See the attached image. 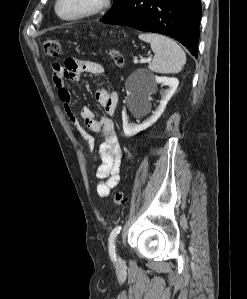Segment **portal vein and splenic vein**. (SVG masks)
<instances>
[{"mask_svg": "<svg viewBox=\"0 0 247 299\" xmlns=\"http://www.w3.org/2000/svg\"><path fill=\"white\" fill-rule=\"evenodd\" d=\"M150 61H151V57H149L147 59H141L140 61L137 58L134 59L135 64H137L139 62L143 63V62H150Z\"/></svg>", "mask_w": 247, "mask_h": 299, "instance_id": "obj_1", "label": "portal vein and splenic vein"}]
</instances>
